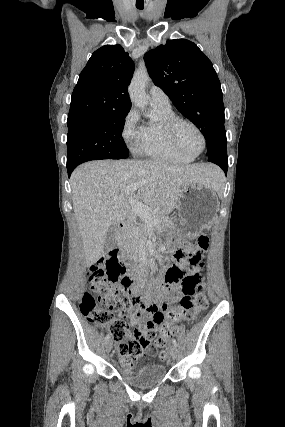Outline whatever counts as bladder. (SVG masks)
Returning <instances> with one entry per match:
<instances>
[{
    "mask_svg": "<svg viewBox=\"0 0 285 427\" xmlns=\"http://www.w3.org/2000/svg\"><path fill=\"white\" fill-rule=\"evenodd\" d=\"M117 372L129 383L137 387H148L162 381L166 369L161 364H149L138 368L117 369Z\"/></svg>",
    "mask_w": 285,
    "mask_h": 427,
    "instance_id": "31cf9c89",
    "label": "bladder"
}]
</instances>
